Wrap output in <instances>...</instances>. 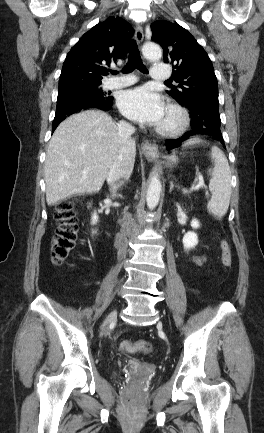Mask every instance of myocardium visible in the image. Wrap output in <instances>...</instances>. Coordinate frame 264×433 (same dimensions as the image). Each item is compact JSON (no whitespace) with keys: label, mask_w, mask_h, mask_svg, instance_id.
Masks as SVG:
<instances>
[{"label":"myocardium","mask_w":264,"mask_h":433,"mask_svg":"<svg viewBox=\"0 0 264 433\" xmlns=\"http://www.w3.org/2000/svg\"><path fill=\"white\" fill-rule=\"evenodd\" d=\"M167 112L173 115L174 121L168 125L159 124L156 128L158 134L165 137H174L181 134L189 125V114L182 106L170 103Z\"/></svg>","instance_id":"1"}]
</instances>
